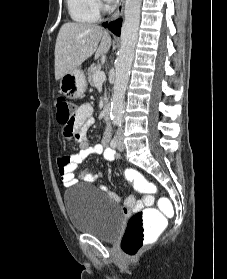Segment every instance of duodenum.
Here are the masks:
<instances>
[{"label": "duodenum", "mask_w": 227, "mask_h": 279, "mask_svg": "<svg viewBox=\"0 0 227 279\" xmlns=\"http://www.w3.org/2000/svg\"><path fill=\"white\" fill-rule=\"evenodd\" d=\"M103 116L106 119L110 118V116H111V107L110 106H108V105L104 106V108H103Z\"/></svg>", "instance_id": "1"}]
</instances>
